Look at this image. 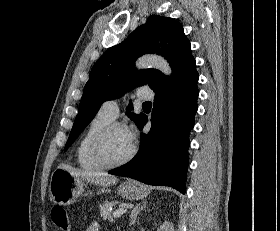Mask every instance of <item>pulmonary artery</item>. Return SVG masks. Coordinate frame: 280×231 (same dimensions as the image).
Segmentation results:
<instances>
[{"mask_svg": "<svg viewBox=\"0 0 280 231\" xmlns=\"http://www.w3.org/2000/svg\"><path fill=\"white\" fill-rule=\"evenodd\" d=\"M136 95L138 98H140L142 100H149V99H152L154 96L152 90H150L147 86L139 88L136 92ZM99 113L114 120L115 118H117V116L119 114L118 101H116V100L105 101L101 105V107L99 109Z\"/></svg>", "mask_w": 280, "mask_h": 231, "instance_id": "obj_1", "label": "pulmonary artery"}]
</instances>
